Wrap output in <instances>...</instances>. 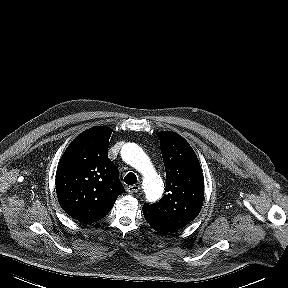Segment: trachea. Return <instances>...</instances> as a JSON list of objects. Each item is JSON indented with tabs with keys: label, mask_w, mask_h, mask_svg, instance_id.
<instances>
[{
	"label": "trachea",
	"mask_w": 288,
	"mask_h": 288,
	"mask_svg": "<svg viewBox=\"0 0 288 288\" xmlns=\"http://www.w3.org/2000/svg\"><path fill=\"white\" fill-rule=\"evenodd\" d=\"M124 182L128 185H133L137 183V177L134 173L129 172L125 177H124Z\"/></svg>",
	"instance_id": "obj_1"
}]
</instances>
